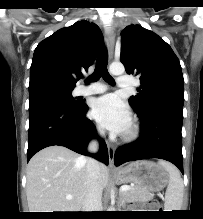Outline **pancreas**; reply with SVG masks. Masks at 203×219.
Returning <instances> with one entry per match:
<instances>
[{
	"label": "pancreas",
	"instance_id": "obj_1",
	"mask_svg": "<svg viewBox=\"0 0 203 219\" xmlns=\"http://www.w3.org/2000/svg\"><path fill=\"white\" fill-rule=\"evenodd\" d=\"M122 196L126 202L148 201L153 198V194L146 192L138 186L130 187L129 190L122 193Z\"/></svg>",
	"mask_w": 203,
	"mask_h": 219
}]
</instances>
